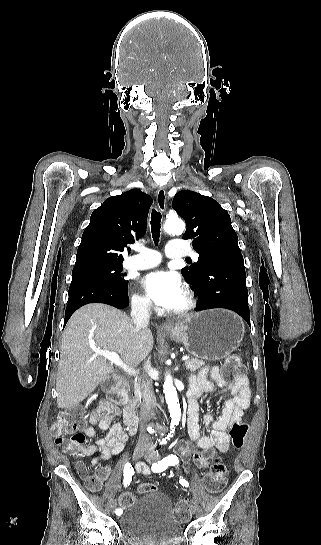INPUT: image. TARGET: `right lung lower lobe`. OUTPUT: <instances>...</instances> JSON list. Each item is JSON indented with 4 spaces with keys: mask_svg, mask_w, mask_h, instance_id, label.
Wrapping results in <instances>:
<instances>
[{
    "mask_svg": "<svg viewBox=\"0 0 321 545\" xmlns=\"http://www.w3.org/2000/svg\"><path fill=\"white\" fill-rule=\"evenodd\" d=\"M89 303H105L123 309L129 305L127 285L118 286L90 277L72 278L64 324L78 308Z\"/></svg>",
    "mask_w": 321,
    "mask_h": 545,
    "instance_id": "obj_1",
    "label": "right lung lower lobe"
}]
</instances>
